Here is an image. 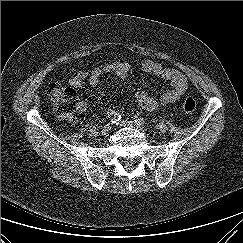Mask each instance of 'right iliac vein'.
I'll return each instance as SVG.
<instances>
[{
	"instance_id": "63e3f726",
	"label": "right iliac vein",
	"mask_w": 243,
	"mask_h": 243,
	"mask_svg": "<svg viewBox=\"0 0 243 243\" xmlns=\"http://www.w3.org/2000/svg\"><path fill=\"white\" fill-rule=\"evenodd\" d=\"M111 129V126H105L104 128L101 129L99 132V136L105 135L109 130Z\"/></svg>"
}]
</instances>
